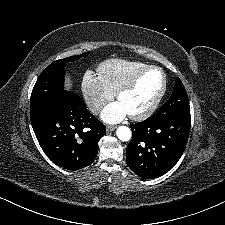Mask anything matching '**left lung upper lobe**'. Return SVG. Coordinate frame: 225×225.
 <instances>
[{
  "label": "left lung upper lobe",
  "mask_w": 225,
  "mask_h": 225,
  "mask_svg": "<svg viewBox=\"0 0 225 225\" xmlns=\"http://www.w3.org/2000/svg\"><path fill=\"white\" fill-rule=\"evenodd\" d=\"M176 112H190L187 93L179 78L176 79L171 97L160 107L157 114H172Z\"/></svg>",
  "instance_id": "left-lung-upper-lobe-1"
}]
</instances>
